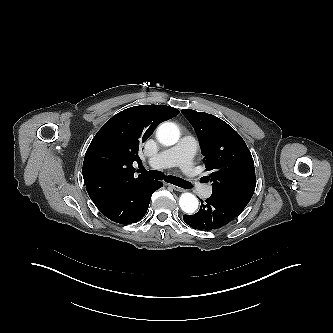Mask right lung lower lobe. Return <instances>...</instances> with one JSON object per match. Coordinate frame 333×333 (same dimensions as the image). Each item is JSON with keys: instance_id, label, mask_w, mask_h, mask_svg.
Here are the masks:
<instances>
[{"instance_id": "obj_1", "label": "right lung lower lobe", "mask_w": 333, "mask_h": 333, "mask_svg": "<svg viewBox=\"0 0 333 333\" xmlns=\"http://www.w3.org/2000/svg\"><path fill=\"white\" fill-rule=\"evenodd\" d=\"M162 186L161 182L150 179L122 195L97 205V208L114 222L120 224L138 222L146 214L153 192Z\"/></svg>"}]
</instances>
